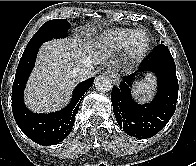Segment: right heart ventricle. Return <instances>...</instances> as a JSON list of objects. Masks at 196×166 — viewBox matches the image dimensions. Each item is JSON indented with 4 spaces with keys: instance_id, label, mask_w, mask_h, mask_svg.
Returning a JSON list of instances; mask_svg holds the SVG:
<instances>
[{
    "instance_id": "obj_1",
    "label": "right heart ventricle",
    "mask_w": 196,
    "mask_h": 166,
    "mask_svg": "<svg viewBox=\"0 0 196 166\" xmlns=\"http://www.w3.org/2000/svg\"><path fill=\"white\" fill-rule=\"evenodd\" d=\"M132 32L130 29H118L108 34L105 39L113 48L128 51V38Z\"/></svg>"
}]
</instances>
